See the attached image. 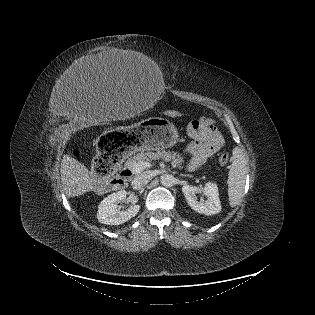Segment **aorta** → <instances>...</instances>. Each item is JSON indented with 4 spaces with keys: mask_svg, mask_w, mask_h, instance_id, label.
<instances>
[{
    "mask_svg": "<svg viewBox=\"0 0 315 315\" xmlns=\"http://www.w3.org/2000/svg\"><path fill=\"white\" fill-rule=\"evenodd\" d=\"M161 183L165 187H172L175 183V178L171 174H165L161 177Z\"/></svg>",
    "mask_w": 315,
    "mask_h": 315,
    "instance_id": "762f6f07",
    "label": "aorta"
}]
</instances>
